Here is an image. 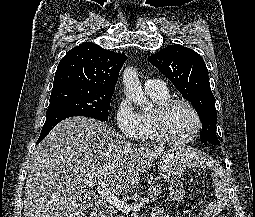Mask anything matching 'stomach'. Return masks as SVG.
Returning <instances> with one entry per match:
<instances>
[{"mask_svg":"<svg viewBox=\"0 0 255 217\" xmlns=\"http://www.w3.org/2000/svg\"><path fill=\"white\" fill-rule=\"evenodd\" d=\"M188 158L179 148H172L166 152L157 161L159 176L165 180H173L181 177Z\"/></svg>","mask_w":255,"mask_h":217,"instance_id":"0dacf381","label":"stomach"}]
</instances>
